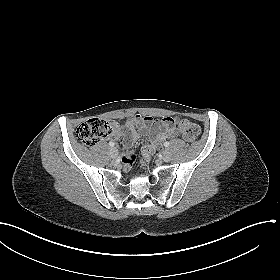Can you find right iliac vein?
<instances>
[{
  "label": "right iliac vein",
  "instance_id": "right-iliac-vein-1",
  "mask_svg": "<svg viewBox=\"0 0 280 280\" xmlns=\"http://www.w3.org/2000/svg\"><path fill=\"white\" fill-rule=\"evenodd\" d=\"M110 156L113 158V159H116L117 156H118V149L116 147H113L111 148L110 150Z\"/></svg>",
  "mask_w": 280,
  "mask_h": 280
}]
</instances>
